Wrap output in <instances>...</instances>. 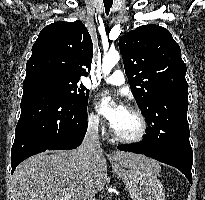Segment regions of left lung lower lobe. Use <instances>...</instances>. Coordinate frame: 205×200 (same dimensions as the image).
Instances as JSON below:
<instances>
[{
  "label": "left lung lower lobe",
  "mask_w": 205,
  "mask_h": 200,
  "mask_svg": "<svg viewBox=\"0 0 205 200\" xmlns=\"http://www.w3.org/2000/svg\"><path fill=\"white\" fill-rule=\"evenodd\" d=\"M188 92L172 91L154 100L155 110H166L156 116L143 141L135 145H119L120 151L144 154L179 169L192 184L193 152L187 121Z\"/></svg>",
  "instance_id": "obj_1"
}]
</instances>
